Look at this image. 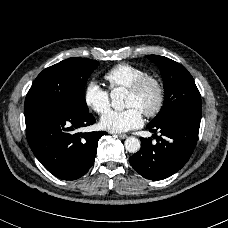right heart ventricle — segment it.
I'll list each match as a JSON object with an SVG mask.
<instances>
[{
  "label": "right heart ventricle",
  "mask_w": 228,
  "mask_h": 228,
  "mask_svg": "<svg viewBox=\"0 0 228 228\" xmlns=\"http://www.w3.org/2000/svg\"><path fill=\"white\" fill-rule=\"evenodd\" d=\"M148 74L144 69L128 63H120L110 68L104 75L113 90L128 89L137 79Z\"/></svg>",
  "instance_id": "e07e8e85"
}]
</instances>
